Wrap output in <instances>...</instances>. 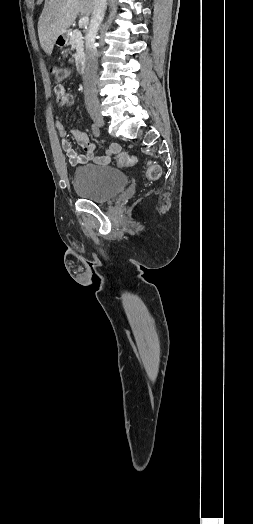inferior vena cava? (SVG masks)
<instances>
[{"label": "inferior vena cava", "mask_w": 253, "mask_h": 524, "mask_svg": "<svg viewBox=\"0 0 253 524\" xmlns=\"http://www.w3.org/2000/svg\"><path fill=\"white\" fill-rule=\"evenodd\" d=\"M106 5L107 0H95L89 31L86 37V68L83 76V82L85 89V104L88 107L98 106L96 89L98 52L95 46V37L104 18Z\"/></svg>", "instance_id": "inferior-vena-cava-1"}]
</instances>
